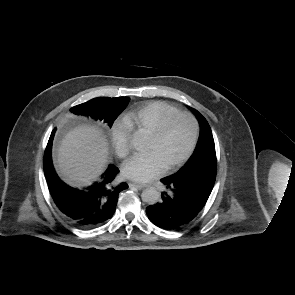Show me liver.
I'll return each mask as SVG.
<instances>
[{
    "mask_svg": "<svg viewBox=\"0 0 295 295\" xmlns=\"http://www.w3.org/2000/svg\"><path fill=\"white\" fill-rule=\"evenodd\" d=\"M108 161V142L104 134L86 125L70 130L57 150V169L70 185L79 186L95 180Z\"/></svg>",
    "mask_w": 295,
    "mask_h": 295,
    "instance_id": "obj_1",
    "label": "liver"
}]
</instances>
